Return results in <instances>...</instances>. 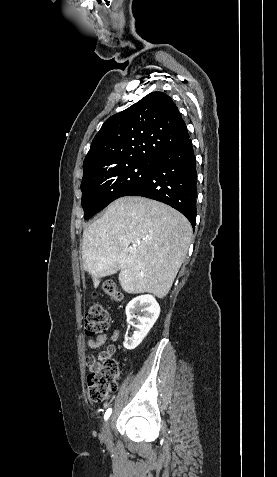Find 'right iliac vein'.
<instances>
[{"label": "right iliac vein", "instance_id": "right-iliac-vein-1", "mask_svg": "<svg viewBox=\"0 0 277 477\" xmlns=\"http://www.w3.org/2000/svg\"><path fill=\"white\" fill-rule=\"evenodd\" d=\"M102 438L106 442H110L111 440V434H110V422L107 421L102 429Z\"/></svg>", "mask_w": 277, "mask_h": 477}]
</instances>
